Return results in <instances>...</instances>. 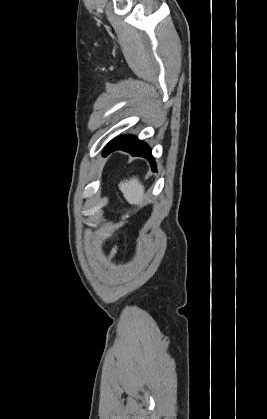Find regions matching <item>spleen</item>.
<instances>
[{
	"instance_id": "spleen-1",
	"label": "spleen",
	"mask_w": 267,
	"mask_h": 419,
	"mask_svg": "<svg viewBox=\"0 0 267 419\" xmlns=\"http://www.w3.org/2000/svg\"><path fill=\"white\" fill-rule=\"evenodd\" d=\"M119 189L129 204H141L144 199V186L137 177L120 182Z\"/></svg>"
}]
</instances>
